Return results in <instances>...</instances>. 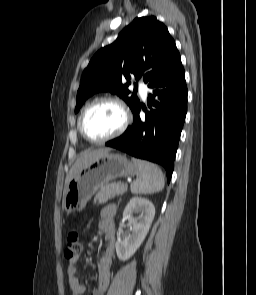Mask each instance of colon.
I'll return each mask as SVG.
<instances>
[{
	"instance_id": "colon-1",
	"label": "colon",
	"mask_w": 256,
	"mask_h": 295,
	"mask_svg": "<svg viewBox=\"0 0 256 295\" xmlns=\"http://www.w3.org/2000/svg\"><path fill=\"white\" fill-rule=\"evenodd\" d=\"M82 250L80 234L77 231H71L66 238L64 255L67 259H73L79 255Z\"/></svg>"
}]
</instances>
